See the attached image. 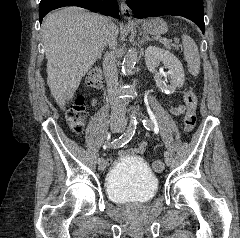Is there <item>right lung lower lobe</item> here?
<instances>
[{"mask_svg":"<svg viewBox=\"0 0 240 238\" xmlns=\"http://www.w3.org/2000/svg\"><path fill=\"white\" fill-rule=\"evenodd\" d=\"M64 6H79L89 9L93 12H101L104 15L119 17V6L116 0H51L45 7L39 9V20L42 22L43 17L53 9Z\"/></svg>","mask_w":240,"mask_h":238,"instance_id":"1","label":"right lung lower lobe"}]
</instances>
